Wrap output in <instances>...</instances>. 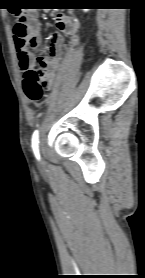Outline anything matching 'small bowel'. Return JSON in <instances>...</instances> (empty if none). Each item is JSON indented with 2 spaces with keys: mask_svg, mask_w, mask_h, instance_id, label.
Instances as JSON below:
<instances>
[{
  "mask_svg": "<svg viewBox=\"0 0 145 278\" xmlns=\"http://www.w3.org/2000/svg\"><path fill=\"white\" fill-rule=\"evenodd\" d=\"M24 19L27 24L28 37L27 43L22 47L23 52L19 53L16 45L19 67L25 72L32 67L31 55L28 53L27 46H31L38 49L42 45V26L38 19V10L31 8L25 16ZM56 25L61 33H56L51 38V44L48 49V55L45 59V78L46 87L49 89L53 85L55 79V73L58 68L60 55L66 45L70 43L74 45L78 41V32L80 29V24L78 21L69 18L66 15H59L56 19ZM65 36L68 40L65 39ZM15 43L16 38L14 37Z\"/></svg>",
  "mask_w": 145,
  "mask_h": 278,
  "instance_id": "obj_1",
  "label": "small bowel"
}]
</instances>
